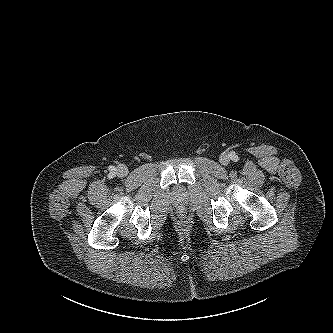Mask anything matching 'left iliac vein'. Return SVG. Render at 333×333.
I'll return each instance as SVG.
<instances>
[{"mask_svg":"<svg viewBox=\"0 0 333 333\" xmlns=\"http://www.w3.org/2000/svg\"><path fill=\"white\" fill-rule=\"evenodd\" d=\"M230 159H229V156L226 154V153H223L221 156H220V163L223 164V165H227L229 163Z\"/></svg>","mask_w":333,"mask_h":333,"instance_id":"1","label":"left iliac vein"}]
</instances>
